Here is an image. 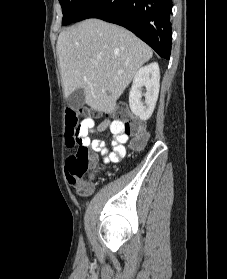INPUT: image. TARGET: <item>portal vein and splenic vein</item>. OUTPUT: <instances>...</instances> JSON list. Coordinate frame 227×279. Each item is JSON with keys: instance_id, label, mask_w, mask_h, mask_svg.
<instances>
[{"instance_id": "obj_1", "label": "portal vein and splenic vein", "mask_w": 227, "mask_h": 279, "mask_svg": "<svg viewBox=\"0 0 227 279\" xmlns=\"http://www.w3.org/2000/svg\"><path fill=\"white\" fill-rule=\"evenodd\" d=\"M92 63H93V64H95V65H97V64H98L96 61H93Z\"/></svg>"}]
</instances>
